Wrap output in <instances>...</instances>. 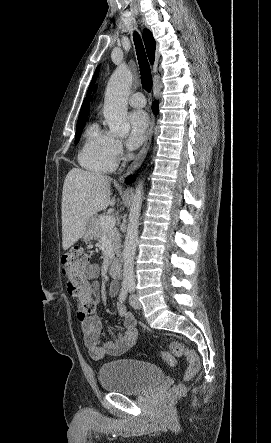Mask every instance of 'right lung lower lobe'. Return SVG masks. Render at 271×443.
Listing matches in <instances>:
<instances>
[{
    "mask_svg": "<svg viewBox=\"0 0 271 443\" xmlns=\"http://www.w3.org/2000/svg\"><path fill=\"white\" fill-rule=\"evenodd\" d=\"M152 109H153V111H154L155 113L158 112V102L155 101V102L153 103ZM133 181H134V177H133V176H130V177H128V178L126 179V182H127V183H130V182H133Z\"/></svg>",
    "mask_w": 271,
    "mask_h": 443,
    "instance_id": "right-lung-lower-lobe-1",
    "label": "right lung lower lobe"
}]
</instances>
